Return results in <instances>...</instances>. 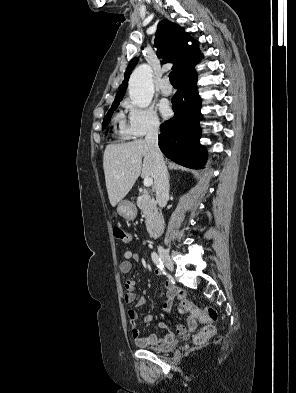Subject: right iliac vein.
I'll return each mask as SVG.
<instances>
[{"label":"right iliac vein","mask_w":296,"mask_h":393,"mask_svg":"<svg viewBox=\"0 0 296 393\" xmlns=\"http://www.w3.org/2000/svg\"><path fill=\"white\" fill-rule=\"evenodd\" d=\"M159 255H160L163 263L165 264V266L170 271H173L174 266H173V262H172V260L170 258V255H169L168 251L163 249V248H161V249H159Z\"/></svg>","instance_id":"obj_1"}]
</instances>
